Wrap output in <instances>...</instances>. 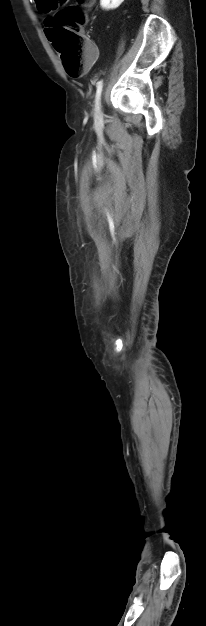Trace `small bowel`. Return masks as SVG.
<instances>
[{
	"label": "small bowel",
	"mask_w": 206,
	"mask_h": 626,
	"mask_svg": "<svg viewBox=\"0 0 206 626\" xmlns=\"http://www.w3.org/2000/svg\"><path fill=\"white\" fill-rule=\"evenodd\" d=\"M41 2H42V0H38V2H37L38 3V7L40 9H41ZM49 19L50 18H46V20H45V34H46L47 38L49 39V41H51V39H50L51 26L48 23ZM90 49L92 51V55H91V57L87 61L86 68H88L92 64L93 59L95 58V55H96V48H95V46L93 44H90Z\"/></svg>",
	"instance_id": "1"
}]
</instances>
